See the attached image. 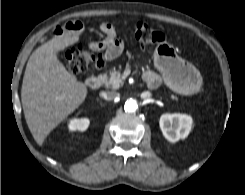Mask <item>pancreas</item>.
<instances>
[{
	"label": "pancreas",
	"instance_id": "cf45deb5",
	"mask_svg": "<svg viewBox=\"0 0 245 195\" xmlns=\"http://www.w3.org/2000/svg\"><path fill=\"white\" fill-rule=\"evenodd\" d=\"M104 83L107 87H110L112 89H118L124 84L120 71H114L109 77H105ZM171 98L174 100L178 99L174 95H172Z\"/></svg>",
	"mask_w": 245,
	"mask_h": 195
}]
</instances>
